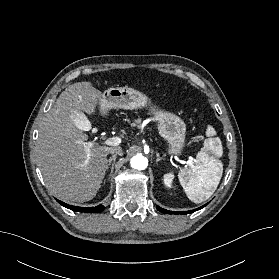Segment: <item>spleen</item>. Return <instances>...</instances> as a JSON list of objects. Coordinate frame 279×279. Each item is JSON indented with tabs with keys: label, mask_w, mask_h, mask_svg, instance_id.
Listing matches in <instances>:
<instances>
[{
	"label": "spleen",
	"mask_w": 279,
	"mask_h": 279,
	"mask_svg": "<svg viewBox=\"0 0 279 279\" xmlns=\"http://www.w3.org/2000/svg\"><path fill=\"white\" fill-rule=\"evenodd\" d=\"M216 134L213 127L209 126L204 141V147L198 152L195 163L189 168H183L178 173L180 184L187 197L194 203L207 200L217 189L223 173V164L216 157L223 153L219 138L212 137Z\"/></svg>",
	"instance_id": "spleen-1"
}]
</instances>
